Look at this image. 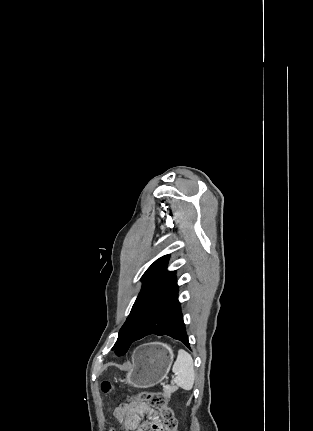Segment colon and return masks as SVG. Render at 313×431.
Returning a JSON list of instances; mask_svg holds the SVG:
<instances>
[{
  "label": "colon",
  "instance_id": "colon-1",
  "mask_svg": "<svg viewBox=\"0 0 313 431\" xmlns=\"http://www.w3.org/2000/svg\"><path fill=\"white\" fill-rule=\"evenodd\" d=\"M230 116L238 117V115ZM101 390L106 394L110 393L112 392V386L109 382L104 381L101 384ZM128 399L134 403L144 404L156 413L158 420L152 426V431H176L177 422L164 394L142 391L134 396H128Z\"/></svg>",
  "mask_w": 313,
  "mask_h": 431
}]
</instances>
